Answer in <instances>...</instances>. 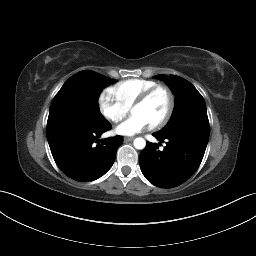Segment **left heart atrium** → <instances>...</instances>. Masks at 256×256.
Wrapping results in <instances>:
<instances>
[{
	"instance_id": "1",
	"label": "left heart atrium",
	"mask_w": 256,
	"mask_h": 256,
	"mask_svg": "<svg viewBox=\"0 0 256 256\" xmlns=\"http://www.w3.org/2000/svg\"><path fill=\"white\" fill-rule=\"evenodd\" d=\"M150 126L148 120L140 114H134L120 123L115 131L124 136H131L147 129Z\"/></svg>"
}]
</instances>
